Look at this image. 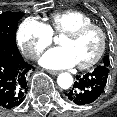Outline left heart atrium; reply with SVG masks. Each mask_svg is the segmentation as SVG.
<instances>
[{
  "label": "left heart atrium",
  "mask_w": 117,
  "mask_h": 117,
  "mask_svg": "<svg viewBox=\"0 0 117 117\" xmlns=\"http://www.w3.org/2000/svg\"><path fill=\"white\" fill-rule=\"evenodd\" d=\"M39 63L49 69H62L75 66L76 60L67 47H56L47 51L39 60Z\"/></svg>",
  "instance_id": "obj_1"
}]
</instances>
